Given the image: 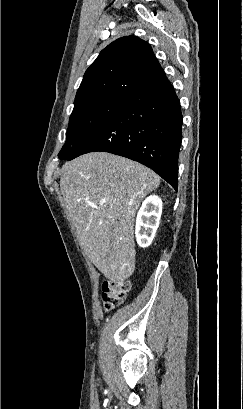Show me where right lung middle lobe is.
<instances>
[{
	"instance_id": "right-lung-middle-lobe-1",
	"label": "right lung middle lobe",
	"mask_w": 243,
	"mask_h": 409,
	"mask_svg": "<svg viewBox=\"0 0 243 409\" xmlns=\"http://www.w3.org/2000/svg\"><path fill=\"white\" fill-rule=\"evenodd\" d=\"M124 100L103 98L75 104L69 119L66 142L58 154L59 158L66 159L76 147L100 129Z\"/></svg>"
}]
</instances>
